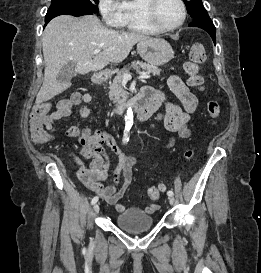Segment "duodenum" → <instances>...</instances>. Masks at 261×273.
Here are the masks:
<instances>
[{"instance_id":"duodenum-1","label":"duodenum","mask_w":261,"mask_h":273,"mask_svg":"<svg viewBox=\"0 0 261 273\" xmlns=\"http://www.w3.org/2000/svg\"><path fill=\"white\" fill-rule=\"evenodd\" d=\"M108 74L100 72L93 77V83L99 85L107 80ZM129 109L137 113L140 122L146 121L156 110V104L147 89H143L131 102H122L114 106L116 114H124Z\"/></svg>"}]
</instances>
